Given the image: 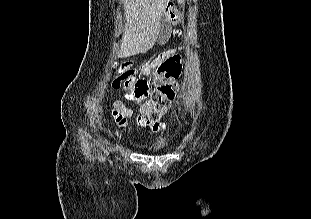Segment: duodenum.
Wrapping results in <instances>:
<instances>
[{
    "label": "duodenum",
    "mask_w": 311,
    "mask_h": 219,
    "mask_svg": "<svg viewBox=\"0 0 311 219\" xmlns=\"http://www.w3.org/2000/svg\"><path fill=\"white\" fill-rule=\"evenodd\" d=\"M170 9H171L170 7H167V11H168V12L170 11Z\"/></svg>",
    "instance_id": "1"
}]
</instances>
